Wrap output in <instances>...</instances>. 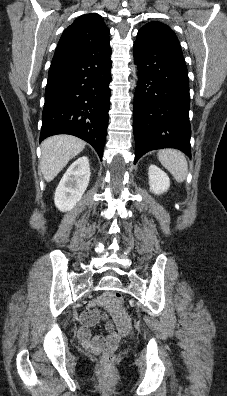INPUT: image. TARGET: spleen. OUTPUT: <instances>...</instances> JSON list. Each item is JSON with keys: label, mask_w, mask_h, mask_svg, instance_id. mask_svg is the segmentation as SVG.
<instances>
[{"label": "spleen", "mask_w": 227, "mask_h": 396, "mask_svg": "<svg viewBox=\"0 0 227 396\" xmlns=\"http://www.w3.org/2000/svg\"><path fill=\"white\" fill-rule=\"evenodd\" d=\"M158 158L161 164L173 175L177 182H183L188 172L185 155L175 149L159 151Z\"/></svg>", "instance_id": "obj_1"}]
</instances>
